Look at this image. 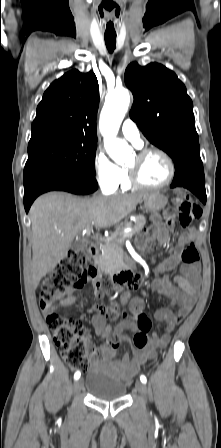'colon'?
Instances as JSON below:
<instances>
[{
  "label": "colon",
  "mask_w": 221,
  "mask_h": 448,
  "mask_svg": "<svg viewBox=\"0 0 221 448\" xmlns=\"http://www.w3.org/2000/svg\"><path fill=\"white\" fill-rule=\"evenodd\" d=\"M175 204L182 226H187L200 214L199 207L186 193H179ZM181 260L186 264L198 263L199 252L194 244L185 247L181 253ZM89 261L88 248L81 247L72 250L57 267L44 276L39 291L40 305L46 313L55 345L64 361L79 372H86L88 369L87 352L91 344L90 338L86 334L85 325L80 320L58 315L54 303L69 295L73 290L97 280L98 273L90 266ZM135 318L138 323V332L134 335L133 342L136 348L141 349L148 343L151 322L143 313ZM179 322L178 319L177 323ZM125 384L130 385L131 380L127 379Z\"/></svg>",
  "instance_id": "1"
}]
</instances>
